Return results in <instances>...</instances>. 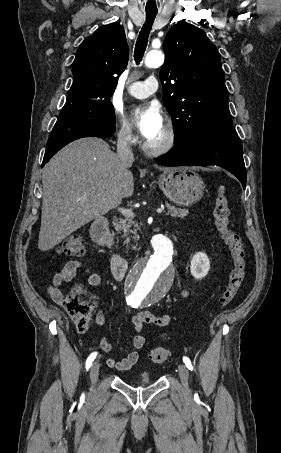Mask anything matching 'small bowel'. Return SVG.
Here are the masks:
<instances>
[{
	"mask_svg": "<svg viewBox=\"0 0 281 453\" xmlns=\"http://www.w3.org/2000/svg\"><path fill=\"white\" fill-rule=\"evenodd\" d=\"M82 269L84 276L88 283L91 286H98L101 282V277L99 273L93 272L87 268H84L82 262L77 259L68 261L65 266L57 272L51 280L46 284V291L51 299L60 306H67L68 300L64 293L61 290V285L65 282L72 281L78 270ZM190 293L185 290L181 294L182 299H187ZM94 318L98 324H102L104 316L101 312L97 311L94 313ZM171 317L169 314H164L161 316H154L148 311H140L133 318V323L136 326L137 330H140L144 324H152L155 326H165L169 323ZM144 345V338L141 335H136L132 340L133 350L123 359L109 358L106 360L108 367L118 370H128L132 368L138 361L137 350L141 349ZM99 349L103 353H109L111 351V344L106 338H102L99 341Z\"/></svg>",
	"mask_w": 281,
	"mask_h": 453,
	"instance_id": "c3829d8e",
	"label": "small bowel"
}]
</instances>
